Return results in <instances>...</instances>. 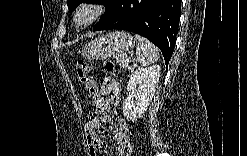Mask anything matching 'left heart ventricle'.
<instances>
[{
    "instance_id": "1",
    "label": "left heart ventricle",
    "mask_w": 247,
    "mask_h": 156,
    "mask_svg": "<svg viewBox=\"0 0 247 156\" xmlns=\"http://www.w3.org/2000/svg\"><path fill=\"white\" fill-rule=\"evenodd\" d=\"M88 17V13H84L81 15L80 20L83 21Z\"/></svg>"
}]
</instances>
